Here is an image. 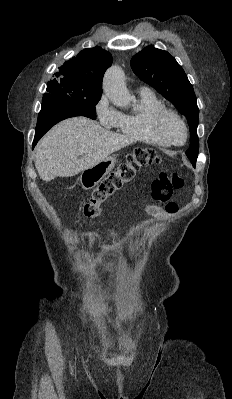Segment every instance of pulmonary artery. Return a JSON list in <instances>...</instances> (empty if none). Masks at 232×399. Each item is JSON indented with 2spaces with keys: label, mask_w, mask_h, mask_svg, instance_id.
Returning a JSON list of instances; mask_svg holds the SVG:
<instances>
[{
  "label": "pulmonary artery",
  "mask_w": 232,
  "mask_h": 399,
  "mask_svg": "<svg viewBox=\"0 0 232 399\" xmlns=\"http://www.w3.org/2000/svg\"><path fill=\"white\" fill-rule=\"evenodd\" d=\"M140 94L141 96H150L151 91L150 89H141Z\"/></svg>",
  "instance_id": "pulmonary-artery-1"
}]
</instances>
